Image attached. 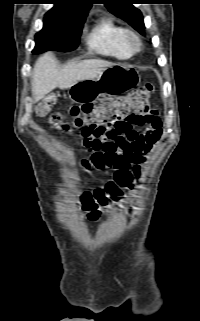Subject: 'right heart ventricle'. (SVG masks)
Masks as SVG:
<instances>
[{
  "label": "right heart ventricle",
  "mask_w": 200,
  "mask_h": 321,
  "mask_svg": "<svg viewBox=\"0 0 200 321\" xmlns=\"http://www.w3.org/2000/svg\"><path fill=\"white\" fill-rule=\"evenodd\" d=\"M126 29L110 16H102L87 36L88 46L99 54L125 60L131 57L123 38Z\"/></svg>",
  "instance_id": "right-heart-ventricle-1"
}]
</instances>
